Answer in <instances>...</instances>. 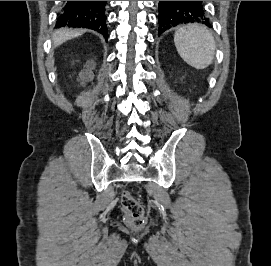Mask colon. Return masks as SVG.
<instances>
[{"label": "colon", "instance_id": "1", "mask_svg": "<svg viewBox=\"0 0 271 266\" xmlns=\"http://www.w3.org/2000/svg\"><path fill=\"white\" fill-rule=\"evenodd\" d=\"M121 204L126 213L127 224L136 230L143 228L146 219L144 208L129 191L122 193Z\"/></svg>", "mask_w": 271, "mask_h": 266}]
</instances>
